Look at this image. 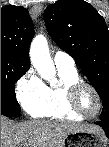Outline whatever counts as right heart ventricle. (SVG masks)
<instances>
[{"label": "right heart ventricle", "instance_id": "obj_1", "mask_svg": "<svg viewBox=\"0 0 109 147\" xmlns=\"http://www.w3.org/2000/svg\"><path fill=\"white\" fill-rule=\"evenodd\" d=\"M60 78L59 85L46 86L48 100L40 105L25 107V111L34 118H50L58 121L79 122L83 118L76 115L67 102V88L80 80L76 69L57 68Z\"/></svg>", "mask_w": 109, "mask_h": 147}]
</instances>
